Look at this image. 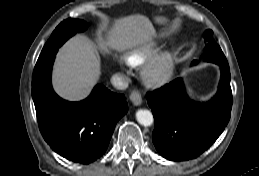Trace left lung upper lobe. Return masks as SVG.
<instances>
[{
	"label": "left lung upper lobe",
	"mask_w": 259,
	"mask_h": 176,
	"mask_svg": "<svg viewBox=\"0 0 259 176\" xmlns=\"http://www.w3.org/2000/svg\"><path fill=\"white\" fill-rule=\"evenodd\" d=\"M204 39L205 42H207V45L204 49V56L206 57V61L213 62L218 65L228 64L221 48L214 41L213 32L211 30L205 31ZM193 64H197V61H194Z\"/></svg>",
	"instance_id": "obj_1"
}]
</instances>
